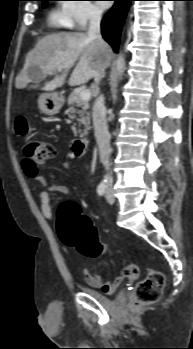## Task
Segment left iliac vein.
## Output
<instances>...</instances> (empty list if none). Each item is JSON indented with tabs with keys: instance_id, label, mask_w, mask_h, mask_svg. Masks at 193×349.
<instances>
[{
	"instance_id": "4c4485c4",
	"label": "left iliac vein",
	"mask_w": 193,
	"mask_h": 349,
	"mask_svg": "<svg viewBox=\"0 0 193 349\" xmlns=\"http://www.w3.org/2000/svg\"><path fill=\"white\" fill-rule=\"evenodd\" d=\"M106 200L109 203H113L115 201V196H114V192L112 189H108L106 192Z\"/></svg>"
}]
</instances>
